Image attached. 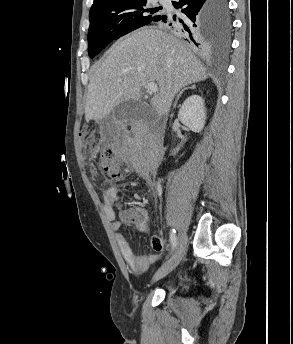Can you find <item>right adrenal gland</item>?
<instances>
[{
    "label": "right adrenal gland",
    "instance_id": "right-adrenal-gland-1",
    "mask_svg": "<svg viewBox=\"0 0 293 344\" xmlns=\"http://www.w3.org/2000/svg\"><path fill=\"white\" fill-rule=\"evenodd\" d=\"M195 88H196V86H195V85H192L191 87H186V88L182 89V90L179 92V94L177 95V97H176V100H175V103H174V107L176 106L178 99L181 97V95L184 93V91H186V90H188V89H195Z\"/></svg>",
    "mask_w": 293,
    "mask_h": 344
}]
</instances>
